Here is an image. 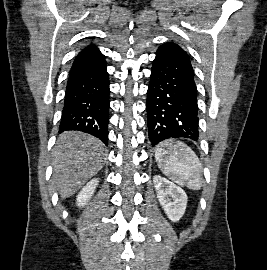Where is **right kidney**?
<instances>
[{"instance_id": "1", "label": "right kidney", "mask_w": 267, "mask_h": 270, "mask_svg": "<svg viewBox=\"0 0 267 270\" xmlns=\"http://www.w3.org/2000/svg\"><path fill=\"white\" fill-rule=\"evenodd\" d=\"M99 179L94 178L89 181L82 190L78 193L76 198V204L79 207H83L87 204L88 200L92 197L95 192L96 187L98 186Z\"/></svg>"}]
</instances>
